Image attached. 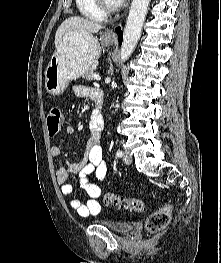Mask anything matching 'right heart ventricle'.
<instances>
[{"label":"right heart ventricle","instance_id":"obj_1","mask_svg":"<svg viewBox=\"0 0 221 263\" xmlns=\"http://www.w3.org/2000/svg\"><path fill=\"white\" fill-rule=\"evenodd\" d=\"M79 12L86 18L94 21H103L106 14L95 4L94 0H75Z\"/></svg>","mask_w":221,"mask_h":263}]
</instances>
